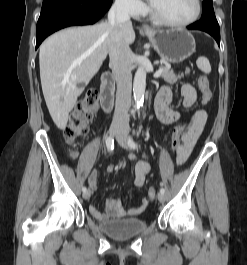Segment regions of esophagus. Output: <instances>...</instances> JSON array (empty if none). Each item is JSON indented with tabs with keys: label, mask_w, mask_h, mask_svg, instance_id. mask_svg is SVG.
Returning a JSON list of instances; mask_svg holds the SVG:
<instances>
[{
	"label": "esophagus",
	"mask_w": 247,
	"mask_h": 265,
	"mask_svg": "<svg viewBox=\"0 0 247 265\" xmlns=\"http://www.w3.org/2000/svg\"><path fill=\"white\" fill-rule=\"evenodd\" d=\"M142 28L144 31H151V28L146 24L142 25Z\"/></svg>",
	"instance_id": "obj_1"
}]
</instances>
